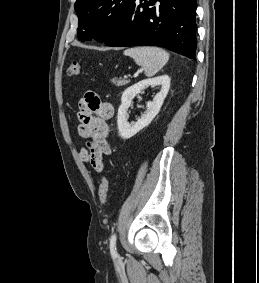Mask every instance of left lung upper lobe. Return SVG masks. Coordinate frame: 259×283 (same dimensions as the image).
Listing matches in <instances>:
<instances>
[{"label": "left lung upper lobe", "instance_id": "left-lung-upper-lobe-1", "mask_svg": "<svg viewBox=\"0 0 259 283\" xmlns=\"http://www.w3.org/2000/svg\"><path fill=\"white\" fill-rule=\"evenodd\" d=\"M133 0H77L74 8L79 19L81 41H107L123 22Z\"/></svg>", "mask_w": 259, "mask_h": 283}]
</instances>
